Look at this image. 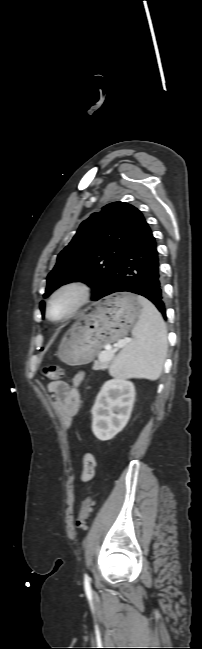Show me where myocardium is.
Masks as SVG:
<instances>
[{
	"label": "myocardium",
	"mask_w": 202,
	"mask_h": 649,
	"mask_svg": "<svg viewBox=\"0 0 202 649\" xmlns=\"http://www.w3.org/2000/svg\"><path fill=\"white\" fill-rule=\"evenodd\" d=\"M65 293H71L74 296V302L69 311L60 318L52 315L51 305L55 299ZM91 298L90 286L82 280H71L59 285L48 297L46 302L47 317L53 322H64L74 317Z\"/></svg>",
	"instance_id": "obj_1"
}]
</instances>
